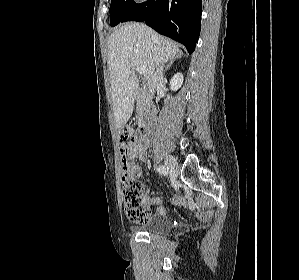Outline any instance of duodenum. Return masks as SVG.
Returning <instances> with one entry per match:
<instances>
[{
  "instance_id": "duodenum-1",
  "label": "duodenum",
  "mask_w": 299,
  "mask_h": 280,
  "mask_svg": "<svg viewBox=\"0 0 299 280\" xmlns=\"http://www.w3.org/2000/svg\"><path fill=\"white\" fill-rule=\"evenodd\" d=\"M139 101L144 106V116L140 123L141 133L145 136L151 134L155 125V112L151 102L150 94L146 91H142L139 94Z\"/></svg>"
}]
</instances>
